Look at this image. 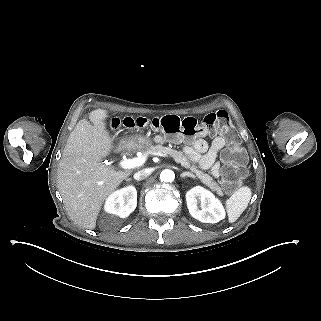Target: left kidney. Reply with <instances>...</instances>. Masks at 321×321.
<instances>
[{
    "label": "left kidney",
    "instance_id": "obj_1",
    "mask_svg": "<svg viewBox=\"0 0 321 321\" xmlns=\"http://www.w3.org/2000/svg\"><path fill=\"white\" fill-rule=\"evenodd\" d=\"M201 202V209L197 203ZM186 202L190 215L203 223H217L225 218L222 203L212 192L201 186L193 187L186 193Z\"/></svg>",
    "mask_w": 321,
    "mask_h": 321
}]
</instances>
